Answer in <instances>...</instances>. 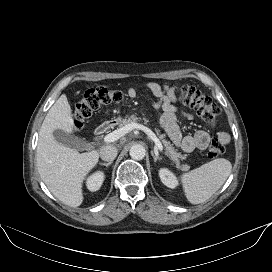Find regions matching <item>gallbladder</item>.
I'll return each mask as SVG.
<instances>
[{
	"mask_svg": "<svg viewBox=\"0 0 272 272\" xmlns=\"http://www.w3.org/2000/svg\"><path fill=\"white\" fill-rule=\"evenodd\" d=\"M53 135L57 142L65 146L72 147L76 150H83L86 147V141L84 139L76 137L62 130H55Z\"/></svg>",
	"mask_w": 272,
	"mask_h": 272,
	"instance_id": "1",
	"label": "gallbladder"
}]
</instances>
